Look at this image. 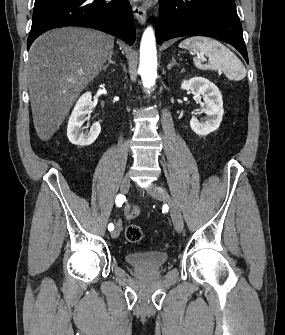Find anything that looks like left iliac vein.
Segmentation results:
<instances>
[{
  "mask_svg": "<svg viewBox=\"0 0 285 335\" xmlns=\"http://www.w3.org/2000/svg\"><path fill=\"white\" fill-rule=\"evenodd\" d=\"M152 187H153V190L150 191V194L154 196L157 200H162L168 204L170 208V214H171L174 227L178 232H181L184 227V221H183L182 214L177 204L173 201V199L166 192L155 189V186H152V185L149 186V188H152Z\"/></svg>",
  "mask_w": 285,
  "mask_h": 335,
  "instance_id": "obj_1",
  "label": "left iliac vein"
}]
</instances>
